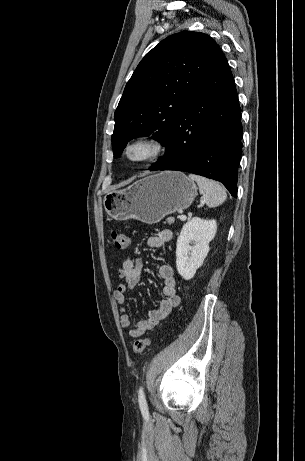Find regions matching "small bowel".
<instances>
[{"label":"small bowel","instance_id":"small-bowel-1","mask_svg":"<svg viewBox=\"0 0 305 461\" xmlns=\"http://www.w3.org/2000/svg\"><path fill=\"white\" fill-rule=\"evenodd\" d=\"M171 239V230L161 229L157 234L148 238L147 244L150 248L159 249ZM142 273L143 262L139 257L125 258L118 269L121 283L113 291V297L119 305L120 324L124 329L129 330V336L132 338L139 337L155 328L160 322L168 318L180 304V297L176 293L174 270L170 264H162L159 268V274L163 281V299L159 308L150 311L145 320L132 323L126 312V294L139 283Z\"/></svg>","mask_w":305,"mask_h":461}]
</instances>
